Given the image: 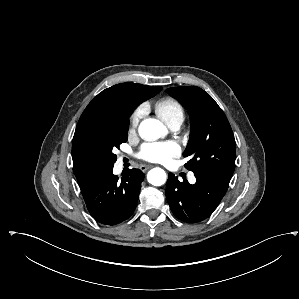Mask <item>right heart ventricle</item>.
<instances>
[{
    "label": "right heart ventricle",
    "instance_id": "e07e8e85",
    "mask_svg": "<svg viewBox=\"0 0 299 299\" xmlns=\"http://www.w3.org/2000/svg\"><path fill=\"white\" fill-rule=\"evenodd\" d=\"M156 113L168 125L175 121H183L184 110L179 101L172 97L158 100L154 105Z\"/></svg>",
    "mask_w": 299,
    "mask_h": 299
}]
</instances>
